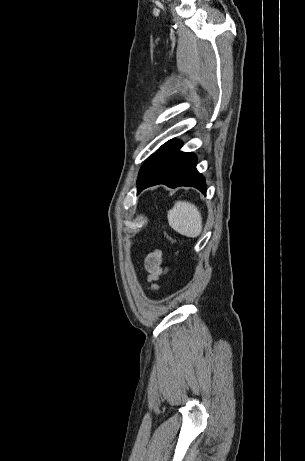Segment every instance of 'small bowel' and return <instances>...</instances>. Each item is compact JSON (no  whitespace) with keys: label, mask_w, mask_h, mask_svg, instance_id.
I'll return each mask as SVG.
<instances>
[{"label":"small bowel","mask_w":305,"mask_h":461,"mask_svg":"<svg viewBox=\"0 0 305 461\" xmlns=\"http://www.w3.org/2000/svg\"><path fill=\"white\" fill-rule=\"evenodd\" d=\"M162 263L163 253L161 250H154L146 256L144 266L150 281L157 280L161 275L167 272V268L164 267ZM158 288L157 284H152L150 287L153 291L158 290Z\"/></svg>","instance_id":"1"}]
</instances>
